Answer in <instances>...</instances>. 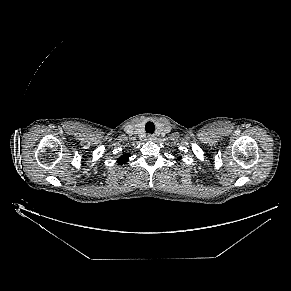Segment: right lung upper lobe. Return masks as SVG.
<instances>
[{
	"label": "right lung upper lobe",
	"instance_id": "cb5924a9",
	"mask_svg": "<svg viewBox=\"0 0 291 291\" xmlns=\"http://www.w3.org/2000/svg\"><path fill=\"white\" fill-rule=\"evenodd\" d=\"M129 157H130V154L125 153L123 156H121L117 159L118 164H121V165L125 164L128 161Z\"/></svg>",
	"mask_w": 291,
	"mask_h": 291
}]
</instances>
